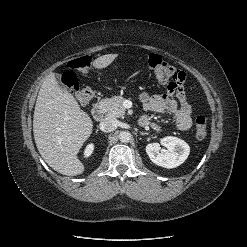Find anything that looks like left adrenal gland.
Masks as SVG:
<instances>
[{
    "label": "left adrenal gland",
    "mask_w": 247,
    "mask_h": 247,
    "mask_svg": "<svg viewBox=\"0 0 247 247\" xmlns=\"http://www.w3.org/2000/svg\"><path fill=\"white\" fill-rule=\"evenodd\" d=\"M140 134L141 135H148V133H146V132H141Z\"/></svg>",
    "instance_id": "obj_1"
}]
</instances>
